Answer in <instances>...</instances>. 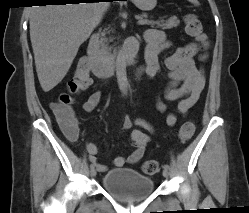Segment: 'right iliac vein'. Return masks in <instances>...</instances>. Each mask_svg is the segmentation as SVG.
<instances>
[{
  "instance_id": "obj_1",
  "label": "right iliac vein",
  "mask_w": 249,
  "mask_h": 213,
  "mask_svg": "<svg viewBox=\"0 0 249 213\" xmlns=\"http://www.w3.org/2000/svg\"><path fill=\"white\" fill-rule=\"evenodd\" d=\"M96 169L95 168H92L91 169V171H90V175L92 176V177H94V176H96Z\"/></svg>"
}]
</instances>
